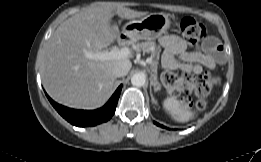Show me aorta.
<instances>
[{
    "label": "aorta",
    "mask_w": 261,
    "mask_h": 162,
    "mask_svg": "<svg viewBox=\"0 0 261 162\" xmlns=\"http://www.w3.org/2000/svg\"><path fill=\"white\" fill-rule=\"evenodd\" d=\"M146 82V77L142 73H136L131 77V83L133 86L142 87Z\"/></svg>",
    "instance_id": "762f6f07"
}]
</instances>
